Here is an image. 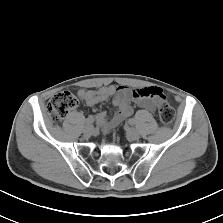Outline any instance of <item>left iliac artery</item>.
<instances>
[{
    "label": "left iliac artery",
    "instance_id": "44dca946",
    "mask_svg": "<svg viewBox=\"0 0 223 223\" xmlns=\"http://www.w3.org/2000/svg\"><path fill=\"white\" fill-rule=\"evenodd\" d=\"M129 124L136 125V121L133 118H131V119H129Z\"/></svg>",
    "mask_w": 223,
    "mask_h": 223
}]
</instances>
